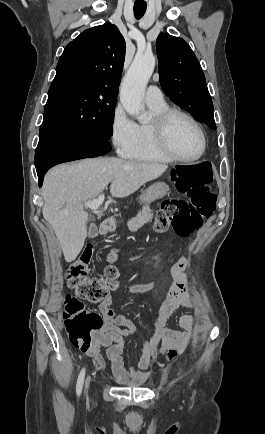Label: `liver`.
<instances>
[{
	"label": "liver",
	"instance_id": "6515ba94",
	"mask_svg": "<svg viewBox=\"0 0 265 434\" xmlns=\"http://www.w3.org/2000/svg\"><path fill=\"white\" fill-rule=\"evenodd\" d=\"M167 168L161 162L137 164L119 158H92L49 170L42 188V214L54 230L66 262L76 260L86 240L89 214L84 212L83 202L95 200L110 182L114 198L130 196L146 182L162 176Z\"/></svg>",
	"mask_w": 265,
	"mask_h": 434
}]
</instances>
